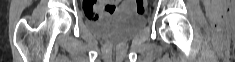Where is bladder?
Masks as SVG:
<instances>
[{
	"label": "bladder",
	"instance_id": "obj_1",
	"mask_svg": "<svg viewBox=\"0 0 235 62\" xmlns=\"http://www.w3.org/2000/svg\"><path fill=\"white\" fill-rule=\"evenodd\" d=\"M146 16L132 5H124L100 19L86 17V26L95 34L111 39L123 40L139 32L146 25Z\"/></svg>",
	"mask_w": 235,
	"mask_h": 62
}]
</instances>
